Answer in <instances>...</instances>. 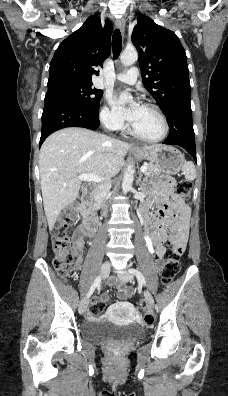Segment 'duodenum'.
Segmentation results:
<instances>
[{
	"label": "duodenum",
	"mask_w": 228,
	"mask_h": 396,
	"mask_svg": "<svg viewBox=\"0 0 228 396\" xmlns=\"http://www.w3.org/2000/svg\"><path fill=\"white\" fill-rule=\"evenodd\" d=\"M79 209H80L82 224L84 228L90 233L97 232L100 223L93 208L92 195L89 190L84 191L83 199L81 201ZM154 220L157 222V219L154 218ZM146 226L150 229V231L156 228L154 224L150 222H146Z\"/></svg>",
	"instance_id": "410a0bca"
}]
</instances>
